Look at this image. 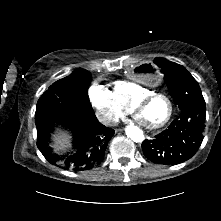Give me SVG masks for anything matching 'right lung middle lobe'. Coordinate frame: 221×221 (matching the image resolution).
<instances>
[{
  "mask_svg": "<svg viewBox=\"0 0 221 221\" xmlns=\"http://www.w3.org/2000/svg\"><path fill=\"white\" fill-rule=\"evenodd\" d=\"M88 71L77 68L71 77L53 83L39 98L35 113L36 127L53 123L64 116H95L88 98Z\"/></svg>",
  "mask_w": 221,
  "mask_h": 221,
  "instance_id": "right-lung-middle-lobe-1",
  "label": "right lung middle lobe"
}]
</instances>
